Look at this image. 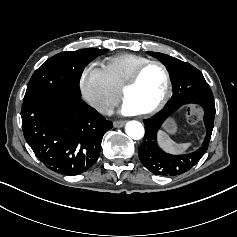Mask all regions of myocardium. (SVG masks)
I'll list each match as a JSON object with an SVG mask.
<instances>
[{
    "mask_svg": "<svg viewBox=\"0 0 237 237\" xmlns=\"http://www.w3.org/2000/svg\"><path fill=\"white\" fill-rule=\"evenodd\" d=\"M152 65L159 66L165 74V80H166L165 92H164V95H163L162 99L160 100V102L154 108H152V109H150L146 112L140 113V115L143 116V117L154 116L155 114L159 113L166 106V104L168 103V101L170 99V96H171V90H172L171 74H170V71H169L168 67L164 63H162L161 61L150 60V61L144 63L143 65H141L132 74V76L127 80V82L124 84V86L122 87V90H121L122 98L125 100L127 92L138 83V81H139L141 75L143 74V72L148 67H150Z\"/></svg>",
    "mask_w": 237,
    "mask_h": 237,
    "instance_id": "f54148a6",
    "label": "myocardium"
}]
</instances>
